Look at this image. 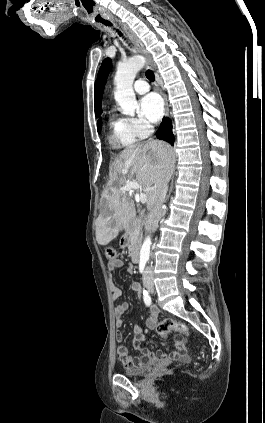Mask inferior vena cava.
<instances>
[{"mask_svg":"<svg viewBox=\"0 0 265 423\" xmlns=\"http://www.w3.org/2000/svg\"><path fill=\"white\" fill-rule=\"evenodd\" d=\"M149 132L153 133L154 132V128L153 126L149 127ZM168 182H164L162 189L160 191V194L158 196V199L156 201V204L153 208V210L151 211L147 224L145 226V230L147 233L151 232V231H155L157 226H158V221L161 217L162 214V205L165 201V197L167 194V190H168ZM152 276V270L150 267H146L143 273V280H146L148 278H150Z\"/></svg>","mask_w":265,"mask_h":423,"instance_id":"inferior-vena-cava-1","label":"inferior vena cava"}]
</instances>
